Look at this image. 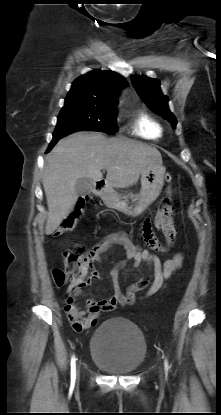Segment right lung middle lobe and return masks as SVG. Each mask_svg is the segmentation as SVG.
Instances as JSON below:
<instances>
[{"mask_svg": "<svg viewBox=\"0 0 221 415\" xmlns=\"http://www.w3.org/2000/svg\"><path fill=\"white\" fill-rule=\"evenodd\" d=\"M115 112L116 104L65 99L53 138H62L81 130L116 133L118 128L115 122Z\"/></svg>", "mask_w": 221, "mask_h": 415, "instance_id": "right-lung-middle-lobe-1", "label": "right lung middle lobe"}]
</instances>
